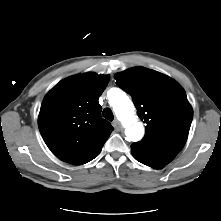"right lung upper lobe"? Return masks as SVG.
I'll return each instance as SVG.
<instances>
[{
    "label": "right lung upper lobe",
    "mask_w": 221,
    "mask_h": 221,
    "mask_svg": "<svg viewBox=\"0 0 221 221\" xmlns=\"http://www.w3.org/2000/svg\"><path fill=\"white\" fill-rule=\"evenodd\" d=\"M108 81V75H77L60 81L45 96L38 126L44 142L60 160L75 165L91 161L113 131L101 117L98 101Z\"/></svg>",
    "instance_id": "1"
}]
</instances>
